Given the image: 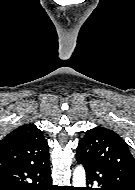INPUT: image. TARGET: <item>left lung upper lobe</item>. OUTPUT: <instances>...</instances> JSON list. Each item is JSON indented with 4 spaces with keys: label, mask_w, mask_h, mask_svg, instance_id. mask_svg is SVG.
Returning a JSON list of instances; mask_svg holds the SVG:
<instances>
[{
    "label": "left lung upper lobe",
    "mask_w": 135,
    "mask_h": 190,
    "mask_svg": "<svg viewBox=\"0 0 135 190\" xmlns=\"http://www.w3.org/2000/svg\"><path fill=\"white\" fill-rule=\"evenodd\" d=\"M76 159L110 173L126 190H135V160L114 131L104 127L89 130L78 144Z\"/></svg>",
    "instance_id": "obj_1"
}]
</instances>
